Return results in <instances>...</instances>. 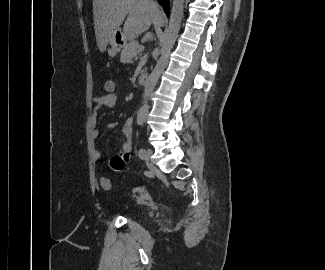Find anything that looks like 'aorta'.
Instances as JSON below:
<instances>
[{"instance_id": "aorta-1", "label": "aorta", "mask_w": 325, "mask_h": 270, "mask_svg": "<svg viewBox=\"0 0 325 270\" xmlns=\"http://www.w3.org/2000/svg\"><path fill=\"white\" fill-rule=\"evenodd\" d=\"M184 13V0H173L172 10L170 14L169 26L166 34L165 41L161 48V56L157 61V64L146 80L144 87V103L141 106L137 118L143 120L148 114V99L151 96L157 81L168 64L169 55L175 44L180 31L181 22Z\"/></svg>"}]
</instances>
